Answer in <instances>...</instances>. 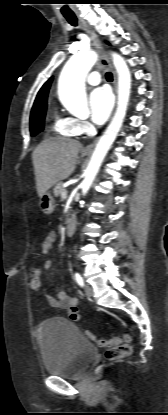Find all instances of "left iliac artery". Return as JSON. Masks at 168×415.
Returning a JSON list of instances; mask_svg holds the SVG:
<instances>
[{
  "label": "left iliac artery",
  "mask_w": 168,
  "mask_h": 415,
  "mask_svg": "<svg viewBox=\"0 0 168 415\" xmlns=\"http://www.w3.org/2000/svg\"><path fill=\"white\" fill-rule=\"evenodd\" d=\"M75 280L81 287L84 286V281H83L81 275L77 272L75 273Z\"/></svg>",
  "instance_id": "obj_1"
}]
</instances>
